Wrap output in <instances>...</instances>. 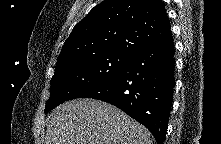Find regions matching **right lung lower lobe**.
Instances as JSON below:
<instances>
[{
  "mask_svg": "<svg viewBox=\"0 0 221 144\" xmlns=\"http://www.w3.org/2000/svg\"><path fill=\"white\" fill-rule=\"evenodd\" d=\"M174 43L168 36L137 52L111 79L83 94L108 102L147 127L158 144L167 131L173 91Z\"/></svg>",
  "mask_w": 221,
  "mask_h": 144,
  "instance_id": "obj_1",
  "label": "right lung lower lobe"
}]
</instances>
